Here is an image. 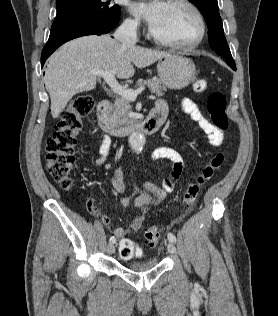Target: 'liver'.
<instances>
[{
    "label": "liver",
    "instance_id": "obj_1",
    "mask_svg": "<svg viewBox=\"0 0 278 316\" xmlns=\"http://www.w3.org/2000/svg\"><path fill=\"white\" fill-rule=\"evenodd\" d=\"M166 55L144 47L124 46L109 35L69 41L49 58L45 70L52 116L58 118L74 95L95 88L97 75L92 71L115 70L119 79H128L135 74L134 65L144 68Z\"/></svg>",
    "mask_w": 278,
    "mask_h": 316
}]
</instances>
